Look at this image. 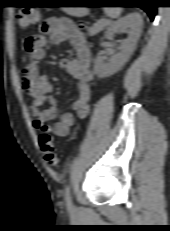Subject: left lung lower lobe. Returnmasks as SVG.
<instances>
[{"instance_id":"0a47b994","label":"left lung lower lobe","mask_w":170,"mask_h":231,"mask_svg":"<svg viewBox=\"0 0 170 231\" xmlns=\"http://www.w3.org/2000/svg\"><path fill=\"white\" fill-rule=\"evenodd\" d=\"M124 1L127 0H118V2H113V3H121ZM133 3L138 4L137 7L142 8L149 15L151 21H153L154 16L156 14V10H155L156 6L154 5L153 0H134Z\"/></svg>"}]
</instances>
